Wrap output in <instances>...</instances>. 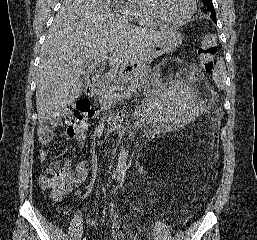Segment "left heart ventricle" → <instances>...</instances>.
Wrapping results in <instances>:
<instances>
[{
  "label": "left heart ventricle",
  "instance_id": "obj_1",
  "mask_svg": "<svg viewBox=\"0 0 257 240\" xmlns=\"http://www.w3.org/2000/svg\"><path fill=\"white\" fill-rule=\"evenodd\" d=\"M157 8L167 19H181L189 10V0H157Z\"/></svg>",
  "mask_w": 257,
  "mask_h": 240
}]
</instances>
